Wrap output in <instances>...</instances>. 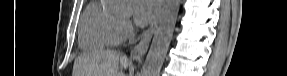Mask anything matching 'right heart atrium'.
Returning a JSON list of instances; mask_svg holds the SVG:
<instances>
[{"label":"right heart atrium","instance_id":"d8ad5b80","mask_svg":"<svg viewBox=\"0 0 287 76\" xmlns=\"http://www.w3.org/2000/svg\"><path fill=\"white\" fill-rule=\"evenodd\" d=\"M132 32L133 26L128 19H117L115 33L119 41L127 39Z\"/></svg>","mask_w":287,"mask_h":76}]
</instances>
